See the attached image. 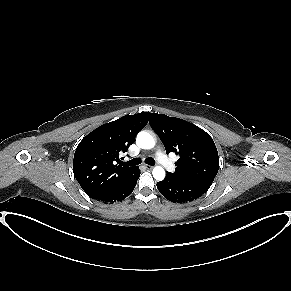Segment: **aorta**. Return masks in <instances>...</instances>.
Here are the masks:
<instances>
[{
    "instance_id": "1",
    "label": "aorta",
    "mask_w": 291,
    "mask_h": 291,
    "mask_svg": "<svg viewBox=\"0 0 291 291\" xmlns=\"http://www.w3.org/2000/svg\"><path fill=\"white\" fill-rule=\"evenodd\" d=\"M137 143L144 149H151L155 145V141L152 135L145 131L138 133ZM152 174L153 177L158 181H161L165 178V170L161 166L154 167Z\"/></svg>"
}]
</instances>
